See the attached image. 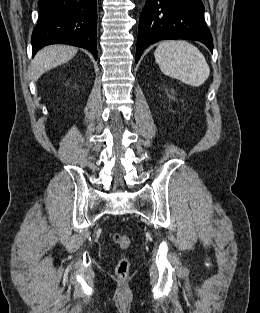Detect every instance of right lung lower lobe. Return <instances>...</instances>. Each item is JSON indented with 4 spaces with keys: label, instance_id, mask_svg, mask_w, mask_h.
Here are the masks:
<instances>
[{
    "label": "right lung lower lobe",
    "instance_id": "obj_1",
    "mask_svg": "<svg viewBox=\"0 0 260 313\" xmlns=\"http://www.w3.org/2000/svg\"><path fill=\"white\" fill-rule=\"evenodd\" d=\"M40 16L32 34L33 55L49 44L85 48L97 59L96 0H39Z\"/></svg>",
    "mask_w": 260,
    "mask_h": 313
}]
</instances>
